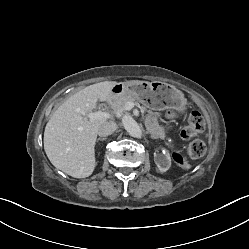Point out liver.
Here are the masks:
<instances>
[{
	"instance_id": "liver-1",
	"label": "liver",
	"mask_w": 249,
	"mask_h": 249,
	"mask_svg": "<svg viewBox=\"0 0 249 249\" xmlns=\"http://www.w3.org/2000/svg\"><path fill=\"white\" fill-rule=\"evenodd\" d=\"M117 82L104 81L78 91L53 113L44 131V150L50 162L75 178H86L95 169V143L105 119L90 120L87 114L97 101L112 96Z\"/></svg>"
}]
</instances>
